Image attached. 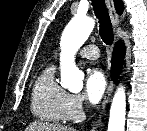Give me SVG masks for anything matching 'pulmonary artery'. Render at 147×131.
<instances>
[{"instance_id":"e3ab8cb5","label":"pulmonary artery","mask_w":147,"mask_h":131,"mask_svg":"<svg viewBox=\"0 0 147 131\" xmlns=\"http://www.w3.org/2000/svg\"><path fill=\"white\" fill-rule=\"evenodd\" d=\"M79 55L83 58L95 60L100 56V53L97 46L87 45L80 50Z\"/></svg>"}]
</instances>
